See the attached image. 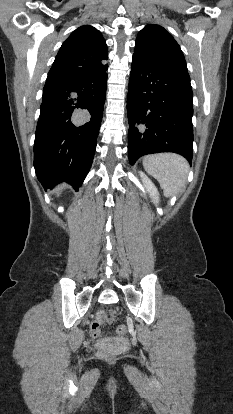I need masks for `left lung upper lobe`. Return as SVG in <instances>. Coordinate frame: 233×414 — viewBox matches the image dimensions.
<instances>
[{
	"label": "left lung upper lobe",
	"instance_id": "left-lung-upper-lobe-1",
	"mask_svg": "<svg viewBox=\"0 0 233 414\" xmlns=\"http://www.w3.org/2000/svg\"><path fill=\"white\" fill-rule=\"evenodd\" d=\"M133 56L161 68L188 73L180 46L170 33L156 24H149L138 33Z\"/></svg>",
	"mask_w": 233,
	"mask_h": 414
}]
</instances>
